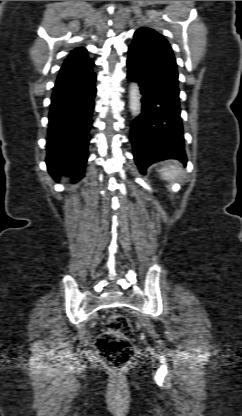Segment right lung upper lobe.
I'll use <instances>...</instances> for the list:
<instances>
[{"instance_id": "1", "label": "right lung upper lobe", "mask_w": 242, "mask_h": 416, "mask_svg": "<svg viewBox=\"0 0 242 416\" xmlns=\"http://www.w3.org/2000/svg\"><path fill=\"white\" fill-rule=\"evenodd\" d=\"M94 66L83 47L74 49L65 60L58 77H81Z\"/></svg>"}]
</instances>
